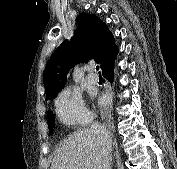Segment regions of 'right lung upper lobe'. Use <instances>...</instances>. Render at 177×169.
I'll use <instances>...</instances> for the list:
<instances>
[{
    "instance_id": "cb5924a9",
    "label": "right lung upper lobe",
    "mask_w": 177,
    "mask_h": 169,
    "mask_svg": "<svg viewBox=\"0 0 177 169\" xmlns=\"http://www.w3.org/2000/svg\"><path fill=\"white\" fill-rule=\"evenodd\" d=\"M71 41L65 40L52 55L43 75L46 100L53 99L64 87L69 71L78 63L95 59L101 69L114 63L119 53L114 36L96 15L81 13Z\"/></svg>"
}]
</instances>
